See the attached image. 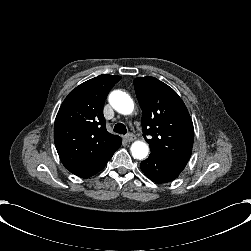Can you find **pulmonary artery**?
I'll list each match as a JSON object with an SVG mask.
<instances>
[{
  "label": "pulmonary artery",
  "mask_w": 251,
  "mask_h": 251,
  "mask_svg": "<svg viewBox=\"0 0 251 251\" xmlns=\"http://www.w3.org/2000/svg\"><path fill=\"white\" fill-rule=\"evenodd\" d=\"M134 132L139 133V136L142 137L143 139H148L149 138V133L146 132L145 130H142L141 126H135L134 127Z\"/></svg>",
  "instance_id": "e3ab8cb5"
}]
</instances>
